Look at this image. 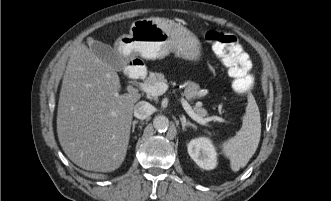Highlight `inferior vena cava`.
Here are the masks:
<instances>
[{"instance_id": "obj_1", "label": "inferior vena cava", "mask_w": 331, "mask_h": 201, "mask_svg": "<svg viewBox=\"0 0 331 201\" xmlns=\"http://www.w3.org/2000/svg\"><path fill=\"white\" fill-rule=\"evenodd\" d=\"M154 111V107L146 102V101H139L134 106V116L138 119H145L150 116Z\"/></svg>"}]
</instances>
